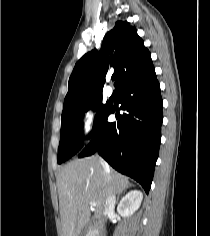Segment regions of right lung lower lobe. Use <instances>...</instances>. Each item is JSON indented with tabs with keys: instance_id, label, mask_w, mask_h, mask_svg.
<instances>
[{
	"instance_id": "1",
	"label": "right lung lower lobe",
	"mask_w": 210,
	"mask_h": 236,
	"mask_svg": "<svg viewBox=\"0 0 210 236\" xmlns=\"http://www.w3.org/2000/svg\"><path fill=\"white\" fill-rule=\"evenodd\" d=\"M116 89L123 114L117 111V123H110L107 118L114 110L109 107L92 141L78 157L98 152L117 171L138 181L148 193L163 121V101L153 64L123 80Z\"/></svg>"
}]
</instances>
